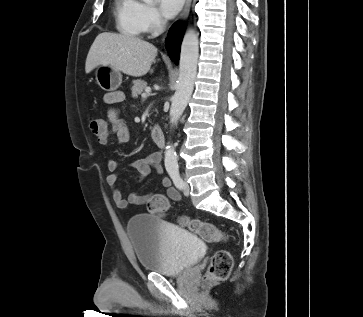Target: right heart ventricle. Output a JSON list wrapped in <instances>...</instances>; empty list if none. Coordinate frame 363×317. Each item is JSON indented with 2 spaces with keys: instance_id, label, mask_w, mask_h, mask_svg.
<instances>
[{
  "instance_id": "e07e8e85",
  "label": "right heart ventricle",
  "mask_w": 363,
  "mask_h": 317,
  "mask_svg": "<svg viewBox=\"0 0 363 317\" xmlns=\"http://www.w3.org/2000/svg\"><path fill=\"white\" fill-rule=\"evenodd\" d=\"M142 7L139 0H115V21L120 33L137 37L144 32Z\"/></svg>"
}]
</instances>
